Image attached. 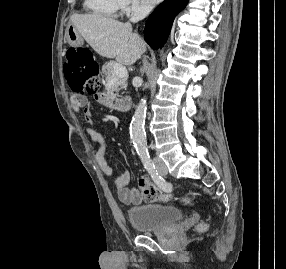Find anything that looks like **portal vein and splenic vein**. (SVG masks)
I'll return each instance as SVG.
<instances>
[{
	"label": "portal vein and splenic vein",
	"instance_id": "18ae733b",
	"mask_svg": "<svg viewBox=\"0 0 286 269\" xmlns=\"http://www.w3.org/2000/svg\"><path fill=\"white\" fill-rule=\"evenodd\" d=\"M114 73L116 76L124 77L127 75V70L122 64L116 63L114 65Z\"/></svg>",
	"mask_w": 286,
	"mask_h": 269
}]
</instances>
